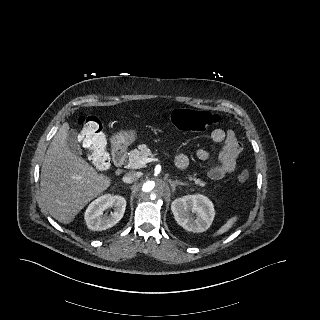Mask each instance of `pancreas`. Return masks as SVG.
<instances>
[{
  "mask_svg": "<svg viewBox=\"0 0 320 320\" xmlns=\"http://www.w3.org/2000/svg\"><path fill=\"white\" fill-rule=\"evenodd\" d=\"M129 164H134L137 163L139 160H141L142 158H148V157H152L153 154L151 152V150L145 145H139L138 149H134L132 151L129 152ZM142 166H138L137 168L143 167ZM188 179L190 181H194L196 185L204 187L206 185L205 182H203L201 179H197L195 177H192L191 175H188Z\"/></svg>",
  "mask_w": 320,
  "mask_h": 320,
  "instance_id": "pancreas-1",
  "label": "pancreas"
}]
</instances>
